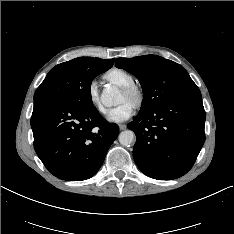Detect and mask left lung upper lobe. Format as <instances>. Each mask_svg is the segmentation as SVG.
<instances>
[{
	"label": "left lung upper lobe",
	"instance_id": "obj_1",
	"mask_svg": "<svg viewBox=\"0 0 234 234\" xmlns=\"http://www.w3.org/2000/svg\"><path fill=\"white\" fill-rule=\"evenodd\" d=\"M115 65L135 75L143 88L138 114L148 113L177 94L196 87L181 65L160 56L117 58Z\"/></svg>",
	"mask_w": 234,
	"mask_h": 234
}]
</instances>
